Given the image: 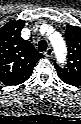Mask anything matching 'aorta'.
I'll return each mask as SVG.
<instances>
[{
	"label": "aorta",
	"instance_id": "obj_1",
	"mask_svg": "<svg viewBox=\"0 0 81 124\" xmlns=\"http://www.w3.org/2000/svg\"><path fill=\"white\" fill-rule=\"evenodd\" d=\"M49 39L54 48L58 62L64 63L66 60L67 48L63 38L59 33L54 32L50 35Z\"/></svg>",
	"mask_w": 81,
	"mask_h": 124
}]
</instances>
